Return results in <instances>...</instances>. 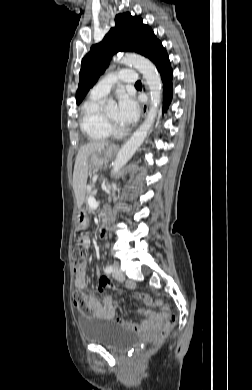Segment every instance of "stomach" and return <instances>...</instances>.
I'll return each mask as SVG.
<instances>
[{
    "instance_id": "stomach-1",
    "label": "stomach",
    "mask_w": 252,
    "mask_h": 390,
    "mask_svg": "<svg viewBox=\"0 0 252 390\" xmlns=\"http://www.w3.org/2000/svg\"><path fill=\"white\" fill-rule=\"evenodd\" d=\"M114 152L113 147H107L103 151L95 152L90 157V170L100 168L105 159L111 158ZM89 219L84 209L80 210L76 215V229L82 230L88 226Z\"/></svg>"
}]
</instances>
